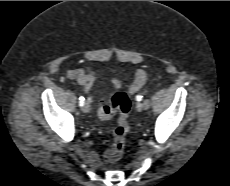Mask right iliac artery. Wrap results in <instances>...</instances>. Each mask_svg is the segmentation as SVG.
<instances>
[{
  "instance_id": "right-iliac-artery-1",
  "label": "right iliac artery",
  "mask_w": 230,
  "mask_h": 186,
  "mask_svg": "<svg viewBox=\"0 0 230 186\" xmlns=\"http://www.w3.org/2000/svg\"><path fill=\"white\" fill-rule=\"evenodd\" d=\"M84 101H85L84 97L81 96V97L79 98V104H80V106H83V105H84Z\"/></svg>"
}]
</instances>
